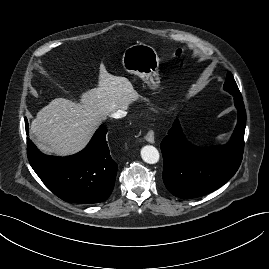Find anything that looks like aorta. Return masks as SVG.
<instances>
[{
  "label": "aorta",
  "mask_w": 269,
  "mask_h": 269,
  "mask_svg": "<svg viewBox=\"0 0 269 269\" xmlns=\"http://www.w3.org/2000/svg\"><path fill=\"white\" fill-rule=\"evenodd\" d=\"M141 157L148 164H155L159 161L160 155L158 150L151 145H146L141 149Z\"/></svg>",
  "instance_id": "aorta-1"
}]
</instances>
